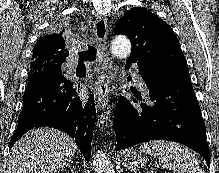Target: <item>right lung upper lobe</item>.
I'll use <instances>...</instances> for the list:
<instances>
[{
    "label": "right lung upper lobe",
    "mask_w": 219,
    "mask_h": 173,
    "mask_svg": "<svg viewBox=\"0 0 219 173\" xmlns=\"http://www.w3.org/2000/svg\"><path fill=\"white\" fill-rule=\"evenodd\" d=\"M68 52L61 34H49L41 37L33 49L31 71L52 65H62Z\"/></svg>",
    "instance_id": "cb5924a9"
}]
</instances>
